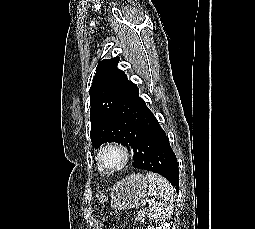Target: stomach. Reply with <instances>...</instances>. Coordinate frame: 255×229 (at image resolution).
<instances>
[{"label": "stomach", "instance_id": "stomach-1", "mask_svg": "<svg viewBox=\"0 0 255 229\" xmlns=\"http://www.w3.org/2000/svg\"><path fill=\"white\" fill-rule=\"evenodd\" d=\"M147 187L148 180L142 174H133L118 181L111 190L112 207L116 209L137 207Z\"/></svg>", "mask_w": 255, "mask_h": 229}]
</instances>
